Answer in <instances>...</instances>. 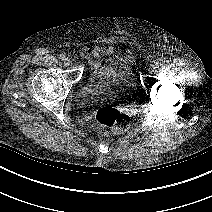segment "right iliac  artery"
I'll return each instance as SVG.
<instances>
[{"instance_id":"obj_1","label":"right iliac artery","mask_w":212,"mask_h":212,"mask_svg":"<svg viewBox=\"0 0 212 212\" xmlns=\"http://www.w3.org/2000/svg\"><path fill=\"white\" fill-rule=\"evenodd\" d=\"M65 58H66V56H65L64 54H60V56H59V59H60V60L63 61Z\"/></svg>"}]
</instances>
